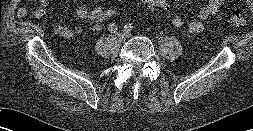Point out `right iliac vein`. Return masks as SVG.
<instances>
[{
	"label": "right iliac vein",
	"mask_w": 253,
	"mask_h": 131,
	"mask_svg": "<svg viewBox=\"0 0 253 131\" xmlns=\"http://www.w3.org/2000/svg\"><path fill=\"white\" fill-rule=\"evenodd\" d=\"M125 38H126V35L124 33H118V35H117L118 41L121 42V41L125 40Z\"/></svg>",
	"instance_id": "63e3f726"
}]
</instances>
